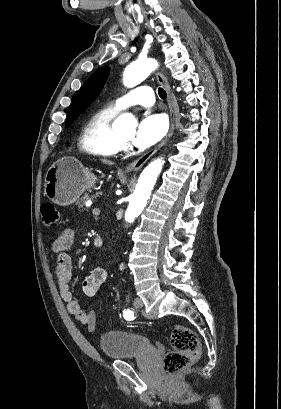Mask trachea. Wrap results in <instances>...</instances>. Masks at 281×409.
Here are the masks:
<instances>
[{
  "label": "trachea",
  "instance_id": "obj_1",
  "mask_svg": "<svg viewBox=\"0 0 281 409\" xmlns=\"http://www.w3.org/2000/svg\"><path fill=\"white\" fill-rule=\"evenodd\" d=\"M158 94L163 100H165L167 98V94H166L165 90L163 88H161V87L158 88Z\"/></svg>",
  "mask_w": 281,
  "mask_h": 409
}]
</instances>
